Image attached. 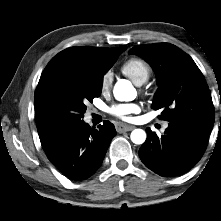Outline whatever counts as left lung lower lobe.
<instances>
[{"label": "left lung lower lobe", "instance_id": "1", "mask_svg": "<svg viewBox=\"0 0 221 221\" xmlns=\"http://www.w3.org/2000/svg\"><path fill=\"white\" fill-rule=\"evenodd\" d=\"M208 136L185 123H169L158 137L147 129V139L139 150L144 165L160 176H177L191 169L203 156Z\"/></svg>", "mask_w": 221, "mask_h": 221}]
</instances>
